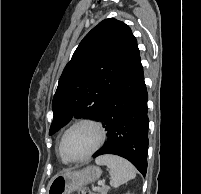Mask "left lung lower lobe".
Masks as SVG:
<instances>
[{
    "label": "left lung lower lobe",
    "instance_id": "left-lung-lower-lobe-1",
    "mask_svg": "<svg viewBox=\"0 0 201 194\" xmlns=\"http://www.w3.org/2000/svg\"><path fill=\"white\" fill-rule=\"evenodd\" d=\"M148 93L140 55L101 109L97 119L103 122L108 140L93 157L115 154L129 160L143 176L147 171Z\"/></svg>",
    "mask_w": 201,
    "mask_h": 194
}]
</instances>
